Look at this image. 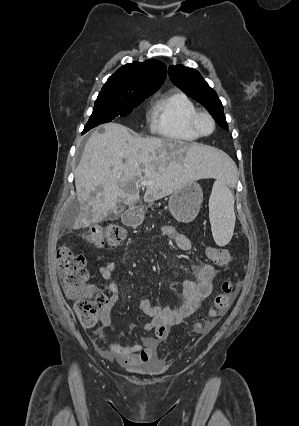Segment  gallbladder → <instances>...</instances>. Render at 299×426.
<instances>
[{
	"label": "gallbladder",
	"instance_id": "1",
	"mask_svg": "<svg viewBox=\"0 0 299 426\" xmlns=\"http://www.w3.org/2000/svg\"><path fill=\"white\" fill-rule=\"evenodd\" d=\"M123 209H124L123 206L113 209V211L108 214L107 218L110 220H115L118 217V215L123 211Z\"/></svg>",
	"mask_w": 299,
	"mask_h": 426
}]
</instances>
